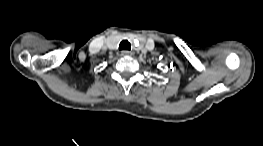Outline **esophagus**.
<instances>
[{
	"mask_svg": "<svg viewBox=\"0 0 263 146\" xmlns=\"http://www.w3.org/2000/svg\"><path fill=\"white\" fill-rule=\"evenodd\" d=\"M132 53L130 52V51H128V50H123L122 52H121V55L122 56H129V55H131Z\"/></svg>",
	"mask_w": 263,
	"mask_h": 146,
	"instance_id": "obj_1",
	"label": "esophagus"
}]
</instances>
